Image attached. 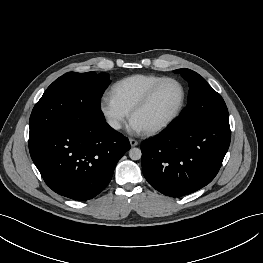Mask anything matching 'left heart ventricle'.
Wrapping results in <instances>:
<instances>
[{
	"mask_svg": "<svg viewBox=\"0 0 263 263\" xmlns=\"http://www.w3.org/2000/svg\"><path fill=\"white\" fill-rule=\"evenodd\" d=\"M182 92L178 84L165 82L156 91L149 104L137 112L135 120L143 130L152 128L168 119L177 109Z\"/></svg>",
	"mask_w": 263,
	"mask_h": 263,
	"instance_id": "1",
	"label": "left heart ventricle"
}]
</instances>
